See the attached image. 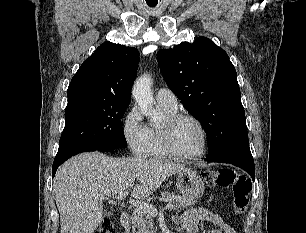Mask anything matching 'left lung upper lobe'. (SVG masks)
Segmentation results:
<instances>
[{
    "instance_id": "left-lung-upper-lobe-1",
    "label": "left lung upper lobe",
    "mask_w": 306,
    "mask_h": 233,
    "mask_svg": "<svg viewBox=\"0 0 306 233\" xmlns=\"http://www.w3.org/2000/svg\"><path fill=\"white\" fill-rule=\"evenodd\" d=\"M157 60L169 88L201 121L209 156L249 146L236 70L222 48L198 37L160 50Z\"/></svg>"
}]
</instances>
